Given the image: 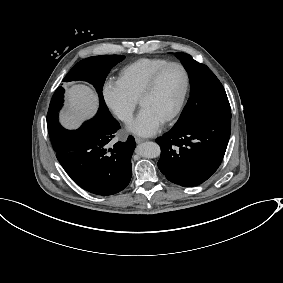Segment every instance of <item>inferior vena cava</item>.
<instances>
[{"mask_svg": "<svg viewBox=\"0 0 283 283\" xmlns=\"http://www.w3.org/2000/svg\"><path fill=\"white\" fill-rule=\"evenodd\" d=\"M132 114V111L127 108H123L117 111L118 118L125 123H129L132 121Z\"/></svg>", "mask_w": 283, "mask_h": 283, "instance_id": "inferior-vena-cava-1", "label": "inferior vena cava"}]
</instances>
